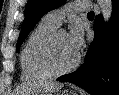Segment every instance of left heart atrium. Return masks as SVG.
<instances>
[{
    "label": "left heart atrium",
    "instance_id": "left-heart-atrium-1",
    "mask_svg": "<svg viewBox=\"0 0 119 95\" xmlns=\"http://www.w3.org/2000/svg\"><path fill=\"white\" fill-rule=\"evenodd\" d=\"M68 41L73 51L78 55L84 43V32L80 24L73 25L69 33H67Z\"/></svg>",
    "mask_w": 119,
    "mask_h": 95
}]
</instances>
